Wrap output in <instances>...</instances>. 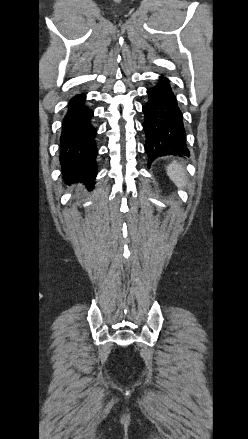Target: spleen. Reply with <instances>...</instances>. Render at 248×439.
<instances>
[{"mask_svg": "<svg viewBox=\"0 0 248 439\" xmlns=\"http://www.w3.org/2000/svg\"><path fill=\"white\" fill-rule=\"evenodd\" d=\"M166 170L167 175L178 188L184 189L186 187L187 177L184 168L180 163L174 161L167 167Z\"/></svg>", "mask_w": 248, "mask_h": 439, "instance_id": "spleen-1", "label": "spleen"}]
</instances>
